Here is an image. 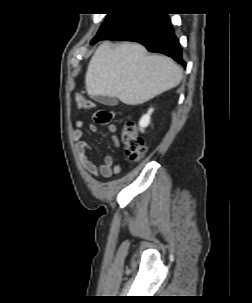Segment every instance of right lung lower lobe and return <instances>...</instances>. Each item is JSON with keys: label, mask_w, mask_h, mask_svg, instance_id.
I'll use <instances>...</instances> for the list:
<instances>
[{"label": "right lung lower lobe", "mask_w": 252, "mask_h": 303, "mask_svg": "<svg viewBox=\"0 0 252 303\" xmlns=\"http://www.w3.org/2000/svg\"><path fill=\"white\" fill-rule=\"evenodd\" d=\"M124 40L143 44L148 51L165 54L180 63L184 68L182 52L167 14L127 13L121 15L114 26L103 36L92 40Z\"/></svg>", "instance_id": "right-lung-lower-lobe-1"}]
</instances>
